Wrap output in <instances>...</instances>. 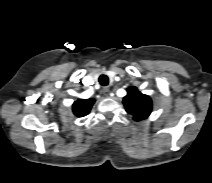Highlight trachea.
<instances>
[{"label": "trachea", "instance_id": "3493384b", "mask_svg": "<svg viewBox=\"0 0 212 183\" xmlns=\"http://www.w3.org/2000/svg\"><path fill=\"white\" fill-rule=\"evenodd\" d=\"M99 83L102 85V86H107L108 83H109V79L106 75H101L99 77Z\"/></svg>", "mask_w": 212, "mask_h": 183}]
</instances>
